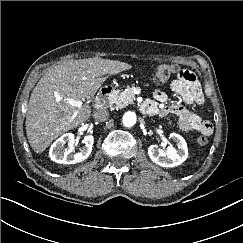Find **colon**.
<instances>
[{
	"label": "colon",
	"mask_w": 243,
	"mask_h": 243,
	"mask_svg": "<svg viewBox=\"0 0 243 243\" xmlns=\"http://www.w3.org/2000/svg\"><path fill=\"white\" fill-rule=\"evenodd\" d=\"M174 75L179 77H186L187 72L180 70V68L175 64L160 65L156 67L152 72L153 80L158 83L165 82ZM197 143L200 146H205L208 143V139L205 136H200L197 138Z\"/></svg>",
	"instance_id": "5ec220e1"
}]
</instances>
